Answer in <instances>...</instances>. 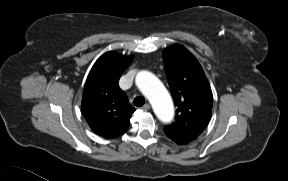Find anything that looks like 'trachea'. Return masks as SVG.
Segmentation results:
<instances>
[{
  "label": "trachea",
  "instance_id": "trachea-1",
  "mask_svg": "<svg viewBox=\"0 0 288 181\" xmlns=\"http://www.w3.org/2000/svg\"><path fill=\"white\" fill-rule=\"evenodd\" d=\"M145 103V98L142 97V96H137L134 98V104L137 106V107H141L143 106Z\"/></svg>",
  "mask_w": 288,
  "mask_h": 181
}]
</instances>
